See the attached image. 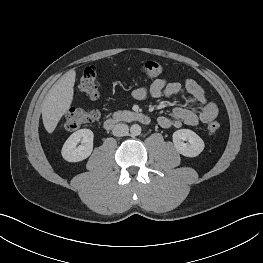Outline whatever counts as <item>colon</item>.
<instances>
[{"label":"colon","mask_w":263,"mask_h":263,"mask_svg":"<svg viewBox=\"0 0 263 263\" xmlns=\"http://www.w3.org/2000/svg\"><path fill=\"white\" fill-rule=\"evenodd\" d=\"M139 69L147 79L156 78L163 72V67L153 60L143 62ZM97 74L98 71L95 66H88L84 69L78 82L80 91L92 100L99 98ZM98 119L99 113L97 110L72 108L64 116L62 125L66 130L73 131L80 127L92 124ZM207 129L210 134H214L220 129V124L218 122H211Z\"/></svg>","instance_id":"colon-1"}]
</instances>
